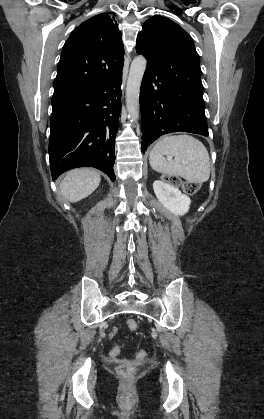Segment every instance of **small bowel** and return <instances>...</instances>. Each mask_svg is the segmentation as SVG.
Segmentation results:
<instances>
[{
    "mask_svg": "<svg viewBox=\"0 0 264 419\" xmlns=\"http://www.w3.org/2000/svg\"><path fill=\"white\" fill-rule=\"evenodd\" d=\"M119 352H120V348L118 346H113L110 350V354L112 356L119 354Z\"/></svg>",
    "mask_w": 264,
    "mask_h": 419,
    "instance_id": "small-bowel-1",
    "label": "small bowel"
}]
</instances>
